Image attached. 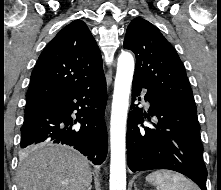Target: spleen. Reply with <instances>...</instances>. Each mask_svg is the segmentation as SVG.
<instances>
[{
    "mask_svg": "<svg viewBox=\"0 0 221 190\" xmlns=\"http://www.w3.org/2000/svg\"><path fill=\"white\" fill-rule=\"evenodd\" d=\"M146 181L156 185L157 190H200L183 175L169 170H156L146 177Z\"/></svg>",
    "mask_w": 221,
    "mask_h": 190,
    "instance_id": "spleen-1",
    "label": "spleen"
}]
</instances>
